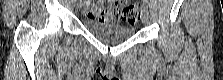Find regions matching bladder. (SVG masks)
<instances>
[{"mask_svg": "<svg viewBox=\"0 0 223 80\" xmlns=\"http://www.w3.org/2000/svg\"><path fill=\"white\" fill-rule=\"evenodd\" d=\"M83 25L91 35L108 42L124 41L131 38L135 33L132 27L110 21L84 19Z\"/></svg>", "mask_w": 223, "mask_h": 80, "instance_id": "bladder-1", "label": "bladder"}]
</instances>
